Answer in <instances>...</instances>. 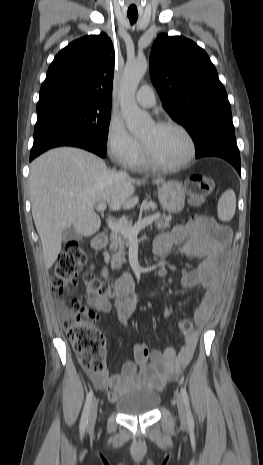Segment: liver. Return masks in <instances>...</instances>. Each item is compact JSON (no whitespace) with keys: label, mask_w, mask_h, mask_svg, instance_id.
<instances>
[{"label":"liver","mask_w":263,"mask_h":465,"mask_svg":"<svg viewBox=\"0 0 263 465\" xmlns=\"http://www.w3.org/2000/svg\"><path fill=\"white\" fill-rule=\"evenodd\" d=\"M145 183L119 176L101 158L78 148H56L36 158L30 166L29 190L46 268L56 261L66 229L73 226L83 236L95 234L101 225L95 205L131 209L139 201L135 186Z\"/></svg>","instance_id":"6515ba94"}]
</instances>
